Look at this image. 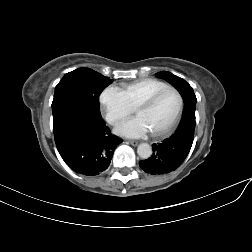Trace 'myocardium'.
Wrapping results in <instances>:
<instances>
[{
    "instance_id": "obj_1",
    "label": "myocardium",
    "mask_w": 252,
    "mask_h": 252,
    "mask_svg": "<svg viewBox=\"0 0 252 252\" xmlns=\"http://www.w3.org/2000/svg\"><path fill=\"white\" fill-rule=\"evenodd\" d=\"M167 91H172L174 92L177 97H178V106H177V109L174 113V115L172 116L171 120L169 121V123L159 129V130H156V131H150V134L154 137H158V136H162V135H165L167 134L173 127L174 125L176 124L180 114H181V111L183 109V105H184V99H183V96L182 94L180 93V91L174 87H171V86H168L166 88H163V89H160L156 92H154L153 94H151L150 96H148L146 99H144L143 101H141L135 108V112L140 109V108H145V107H148L150 106L151 104L154 103V101L160 96L162 95L163 93L167 92Z\"/></svg>"
}]
</instances>
